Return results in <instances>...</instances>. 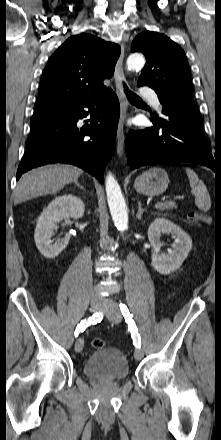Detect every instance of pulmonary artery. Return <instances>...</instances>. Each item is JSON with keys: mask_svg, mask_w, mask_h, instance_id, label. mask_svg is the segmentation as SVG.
<instances>
[{"mask_svg": "<svg viewBox=\"0 0 221 440\" xmlns=\"http://www.w3.org/2000/svg\"><path fill=\"white\" fill-rule=\"evenodd\" d=\"M141 96L148 99L156 108L160 109L161 103L157 97L156 92L150 88H143L141 90Z\"/></svg>", "mask_w": 221, "mask_h": 440, "instance_id": "pulmonary-artery-1", "label": "pulmonary artery"}]
</instances>
